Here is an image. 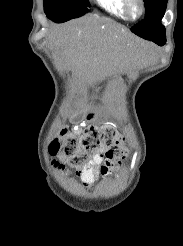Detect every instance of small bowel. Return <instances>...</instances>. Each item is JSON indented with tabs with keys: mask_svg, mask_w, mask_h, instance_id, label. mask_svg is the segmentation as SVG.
I'll use <instances>...</instances> for the list:
<instances>
[{
	"mask_svg": "<svg viewBox=\"0 0 183 246\" xmlns=\"http://www.w3.org/2000/svg\"><path fill=\"white\" fill-rule=\"evenodd\" d=\"M102 161H103V151H100L91 158L89 163L84 168H82L80 171L77 172L80 182L85 187L90 188L94 184L95 180L98 177L99 165L102 163ZM56 167H58V169L62 171L65 170V167L58 163L56 164Z\"/></svg>",
	"mask_w": 183,
	"mask_h": 246,
	"instance_id": "obj_1",
	"label": "small bowel"
}]
</instances>
